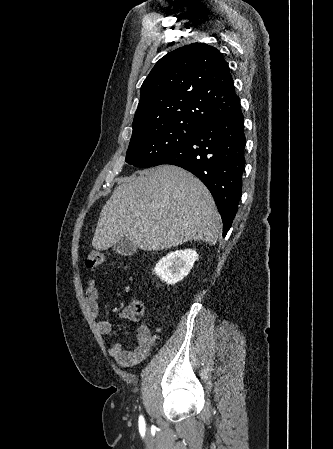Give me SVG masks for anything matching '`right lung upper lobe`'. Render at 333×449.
<instances>
[{
  "instance_id": "right-lung-upper-lobe-1",
  "label": "right lung upper lobe",
  "mask_w": 333,
  "mask_h": 449,
  "mask_svg": "<svg viewBox=\"0 0 333 449\" xmlns=\"http://www.w3.org/2000/svg\"><path fill=\"white\" fill-rule=\"evenodd\" d=\"M140 92L132 137L169 123L202 125L240 102L227 62L215 47L204 43L166 54Z\"/></svg>"
}]
</instances>
